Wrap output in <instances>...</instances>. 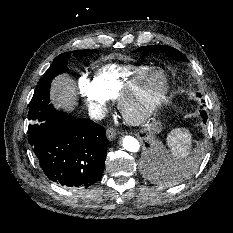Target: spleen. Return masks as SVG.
Segmentation results:
<instances>
[{
    "label": "spleen",
    "mask_w": 233,
    "mask_h": 233,
    "mask_svg": "<svg viewBox=\"0 0 233 233\" xmlns=\"http://www.w3.org/2000/svg\"><path fill=\"white\" fill-rule=\"evenodd\" d=\"M192 137L187 129L176 128L167 136V144L172 155L181 160L186 159L191 153Z\"/></svg>",
    "instance_id": "obj_1"
}]
</instances>
